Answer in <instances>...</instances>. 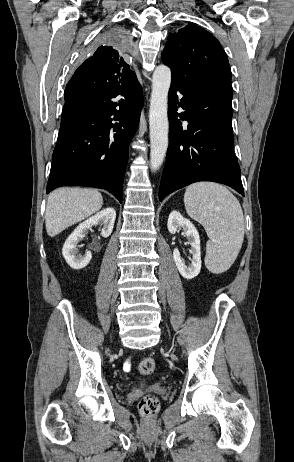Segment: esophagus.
<instances>
[{
	"mask_svg": "<svg viewBox=\"0 0 294 462\" xmlns=\"http://www.w3.org/2000/svg\"><path fill=\"white\" fill-rule=\"evenodd\" d=\"M132 55H133V57H136V56H137V52H136V51H133Z\"/></svg>",
	"mask_w": 294,
	"mask_h": 462,
	"instance_id": "obj_1",
	"label": "esophagus"
}]
</instances>
